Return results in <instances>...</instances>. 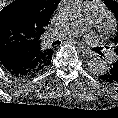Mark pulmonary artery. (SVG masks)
<instances>
[{
    "label": "pulmonary artery",
    "mask_w": 118,
    "mask_h": 118,
    "mask_svg": "<svg viewBox=\"0 0 118 118\" xmlns=\"http://www.w3.org/2000/svg\"><path fill=\"white\" fill-rule=\"evenodd\" d=\"M104 13L105 9L102 1L91 0L86 3L80 17L77 20L65 25L61 32L64 37H77L87 28L97 24L104 16ZM108 59L110 62H113L116 59V55L114 53H110Z\"/></svg>",
    "instance_id": "pulmonary-artery-1"
}]
</instances>
